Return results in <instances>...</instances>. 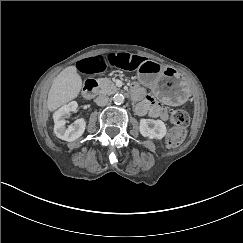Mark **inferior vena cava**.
<instances>
[{
  "label": "inferior vena cava",
  "instance_id": "inferior-vena-cava-1",
  "mask_svg": "<svg viewBox=\"0 0 243 243\" xmlns=\"http://www.w3.org/2000/svg\"><path fill=\"white\" fill-rule=\"evenodd\" d=\"M109 102V98L105 95H99L96 99H95V103L98 106H106Z\"/></svg>",
  "mask_w": 243,
  "mask_h": 243
}]
</instances>
